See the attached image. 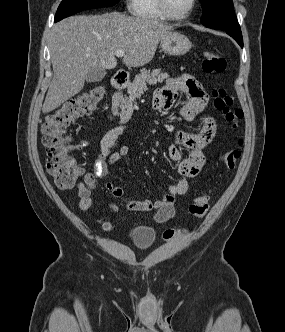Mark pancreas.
Segmentation results:
<instances>
[{
  "mask_svg": "<svg viewBox=\"0 0 285 332\" xmlns=\"http://www.w3.org/2000/svg\"><path fill=\"white\" fill-rule=\"evenodd\" d=\"M168 77L167 73H161V69H154L152 72L146 69L141 70V73L128 85V97L124 98L121 93L115 94L113 98L114 110L117 111L120 108L121 112L119 115L121 119L128 120L133 113L134 101L140 98L143 92L147 90V84L154 85L157 82L162 83Z\"/></svg>",
  "mask_w": 285,
  "mask_h": 332,
  "instance_id": "1",
  "label": "pancreas"
}]
</instances>
